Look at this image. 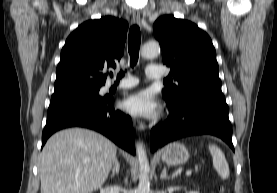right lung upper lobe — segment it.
<instances>
[{
	"instance_id": "right-lung-upper-lobe-1",
	"label": "right lung upper lobe",
	"mask_w": 277,
	"mask_h": 193,
	"mask_svg": "<svg viewBox=\"0 0 277 193\" xmlns=\"http://www.w3.org/2000/svg\"><path fill=\"white\" fill-rule=\"evenodd\" d=\"M128 23L105 16L81 24L67 38L56 69L55 92L81 91L105 84L106 69L124 52Z\"/></svg>"
}]
</instances>
